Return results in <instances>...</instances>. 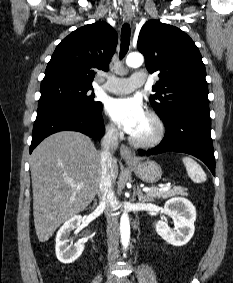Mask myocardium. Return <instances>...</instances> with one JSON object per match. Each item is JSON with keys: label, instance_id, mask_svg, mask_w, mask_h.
I'll return each instance as SVG.
<instances>
[{"label": "myocardium", "instance_id": "1", "mask_svg": "<svg viewBox=\"0 0 233 283\" xmlns=\"http://www.w3.org/2000/svg\"><path fill=\"white\" fill-rule=\"evenodd\" d=\"M146 115L154 122L155 124V133L147 139H140L133 135L130 136V142L140 148H153L159 145L166 134V127L163 119L160 117L158 113L153 110H148Z\"/></svg>", "mask_w": 233, "mask_h": 283}]
</instances>
